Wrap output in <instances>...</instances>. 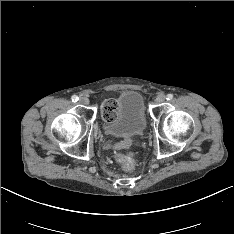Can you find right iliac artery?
<instances>
[{"mask_svg":"<svg viewBox=\"0 0 234 234\" xmlns=\"http://www.w3.org/2000/svg\"><path fill=\"white\" fill-rule=\"evenodd\" d=\"M78 96H76V95H73L72 97H71V100L73 101V102H77L78 101Z\"/></svg>","mask_w":234,"mask_h":234,"instance_id":"obj_1","label":"right iliac artery"}]
</instances>
